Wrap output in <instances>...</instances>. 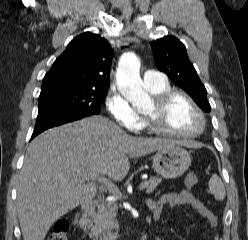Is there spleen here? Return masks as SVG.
Instances as JSON below:
<instances>
[{"instance_id": "1", "label": "spleen", "mask_w": 248, "mask_h": 240, "mask_svg": "<svg viewBox=\"0 0 248 240\" xmlns=\"http://www.w3.org/2000/svg\"><path fill=\"white\" fill-rule=\"evenodd\" d=\"M208 185H209V190L214 195L215 199L221 201L225 198L226 191L218 175L213 174L209 180Z\"/></svg>"}]
</instances>
